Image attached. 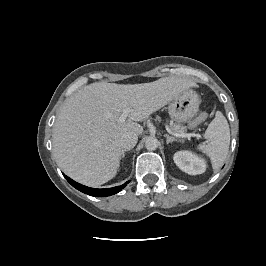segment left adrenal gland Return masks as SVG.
I'll list each match as a JSON object with an SVG mask.
<instances>
[{"instance_id": "left-adrenal-gland-1", "label": "left adrenal gland", "mask_w": 266, "mask_h": 266, "mask_svg": "<svg viewBox=\"0 0 266 266\" xmlns=\"http://www.w3.org/2000/svg\"><path fill=\"white\" fill-rule=\"evenodd\" d=\"M164 137L166 138L167 144L172 143L174 141H177L176 138L169 136L168 134H164Z\"/></svg>"}]
</instances>
